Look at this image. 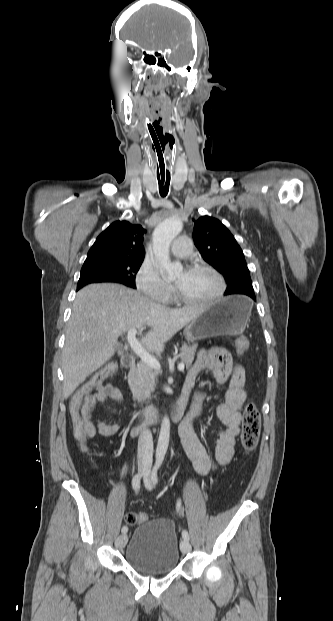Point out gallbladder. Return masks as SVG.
Segmentation results:
<instances>
[{"mask_svg":"<svg viewBox=\"0 0 333 621\" xmlns=\"http://www.w3.org/2000/svg\"><path fill=\"white\" fill-rule=\"evenodd\" d=\"M115 351L118 354H121L123 352V346H121V344H117L116 347H115Z\"/></svg>","mask_w":333,"mask_h":621,"instance_id":"obj_1","label":"gallbladder"}]
</instances>
